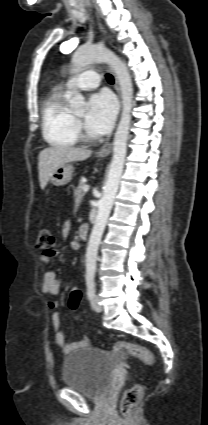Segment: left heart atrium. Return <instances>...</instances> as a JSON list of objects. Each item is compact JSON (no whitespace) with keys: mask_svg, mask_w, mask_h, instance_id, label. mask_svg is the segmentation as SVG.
Returning <instances> with one entry per match:
<instances>
[{"mask_svg":"<svg viewBox=\"0 0 208 425\" xmlns=\"http://www.w3.org/2000/svg\"><path fill=\"white\" fill-rule=\"evenodd\" d=\"M116 113L117 104L111 94L107 92L94 94L89 100L85 117L87 131L96 136L107 134L113 126Z\"/></svg>","mask_w":208,"mask_h":425,"instance_id":"1","label":"left heart atrium"}]
</instances>
